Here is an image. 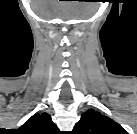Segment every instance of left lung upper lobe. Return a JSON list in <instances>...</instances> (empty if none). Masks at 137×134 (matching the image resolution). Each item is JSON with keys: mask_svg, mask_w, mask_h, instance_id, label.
I'll use <instances>...</instances> for the list:
<instances>
[{"mask_svg": "<svg viewBox=\"0 0 137 134\" xmlns=\"http://www.w3.org/2000/svg\"><path fill=\"white\" fill-rule=\"evenodd\" d=\"M73 134H127L122 126L102 113L90 109L82 114Z\"/></svg>", "mask_w": 137, "mask_h": 134, "instance_id": "1", "label": "left lung upper lobe"}]
</instances>
